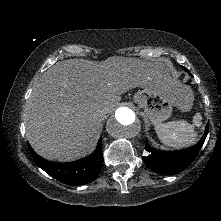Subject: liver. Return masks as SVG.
<instances>
[{
  "instance_id": "6515ba94",
  "label": "liver",
  "mask_w": 221,
  "mask_h": 221,
  "mask_svg": "<svg viewBox=\"0 0 221 221\" xmlns=\"http://www.w3.org/2000/svg\"><path fill=\"white\" fill-rule=\"evenodd\" d=\"M169 79L163 64L134 58L59 61L42 74L27 100L26 138L47 160L79 159L96 143L102 126L98 110L111 112L132 88L165 91Z\"/></svg>"
}]
</instances>
